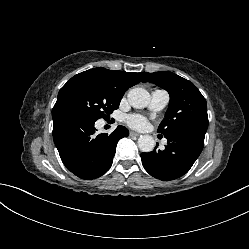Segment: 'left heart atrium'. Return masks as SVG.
I'll return each instance as SVG.
<instances>
[{"label":"left heart atrium","instance_id":"left-heart-atrium-1","mask_svg":"<svg viewBox=\"0 0 249 249\" xmlns=\"http://www.w3.org/2000/svg\"><path fill=\"white\" fill-rule=\"evenodd\" d=\"M127 123L133 128H143L147 125V120L140 115H130L127 118Z\"/></svg>","mask_w":249,"mask_h":249}]
</instances>
